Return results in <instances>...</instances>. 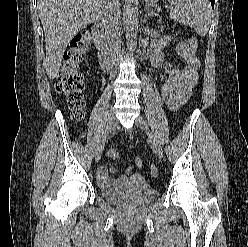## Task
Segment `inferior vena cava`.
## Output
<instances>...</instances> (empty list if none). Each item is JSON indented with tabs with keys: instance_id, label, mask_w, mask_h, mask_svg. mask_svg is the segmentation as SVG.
<instances>
[{
	"instance_id": "602c4592",
	"label": "inferior vena cava",
	"mask_w": 248,
	"mask_h": 247,
	"mask_svg": "<svg viewBox=\"0 0 248 247\" xmlns=\"http://www.w3.org/2000/svg\"><path fill=\"white\" fill-rule=\"evenodd\" d=\"M104 22L106 25V32L110 37V51L111 58L116 60L121 57V39H120V25H121V11L119 9L118 0H108L104 11Z\"/></svg>"
}]
</instances>
